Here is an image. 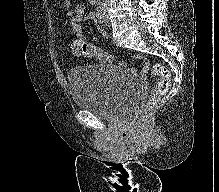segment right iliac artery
Instances as JSON below:
<instances>
[{
	"label": "right iliac artery",
	"mask_w": 219,
	"mask_h": 192,
	"mask_svg": "<svg viewBox=\"0 0 219 192\" xmlns=\"http://www.w3.org/2000/svg\"><path fill=\"white\" fill-rule=\"evenodd\" d=\"M102 15H103V8H102V7H98V8L96 9V17H97L98 19H100V18L102 17Z\"/></svg>",
	"instance_id": "1"
}]
</instances>
